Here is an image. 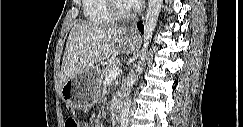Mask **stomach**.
<instances>
[{
	"label": "stomach",
	"instance_id": "obj_1",
	"mask_svg": "<svg viewBox=\"0 0 243 127\" xmlns=\"http://www.w3.org/2000/svg\"><path fill=\"white\" fill-rule=\"evenodd\" d=\"M136 40L137 36L125 35L120 43L123 48H131ZM102 80L103 70L100 65L95 64L64 82L61 86V97L72 109H87L97 101Z\"/></svg>",
	"mask_w": 243,
	"mask_h": 127
}]
</instances>
